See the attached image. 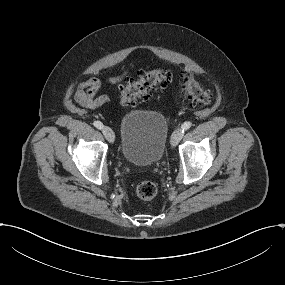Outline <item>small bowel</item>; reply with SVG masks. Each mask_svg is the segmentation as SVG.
Wrapping results in <instances>:
<instances>
[{
    "label": "small bowel",
    "mask_w": 285,
    "mask_h": 285,
    "mask_svg": "<svg viewBox=\"0 0 285 285\" xmlns=\"http://www.w3.org/2000/svg\"><path fill=\"white\" fill-rule=\"evenodd\" d=\"M127 71L124 69L120 74L108 77L105 82H102L97 77H89L88 79L79 82L74 90V101L85 108L96 109L109 102L107 94L97 96V93L106 84H115L126 77Z\"/></svg>",
    "instance_id": "c3829d8e"
}]
</instances>
